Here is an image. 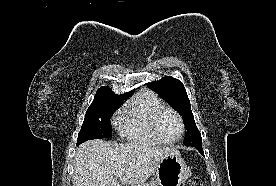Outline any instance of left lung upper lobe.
I'll list each match as a JSON object with an SVG mask.
<instances>
[{"label": "left lung upper lobe", "instance_id": "obj_1", "mask_svg": "<svg viewBox=\"0 0 276 186\" xmlns=\"http://www.w3.org/2000/svg\"><path fill=\"white\" fill-rule=\"evenodd\" d=\"M156 91L171 107H173L183 118L187 129L184 144L186 146L201 145L202 139L198 130L191 105L183 83L170 76L161 78L148 84Z\"/></svg>", "mask_w": 276, "mask_h": 186}]
</instances>
